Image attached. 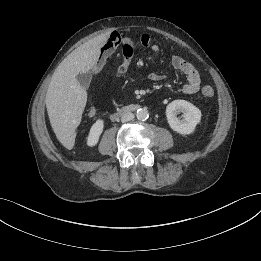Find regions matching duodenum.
Returning <instances> with one entry per match:
<instances>
[{"mask_svg": "<svg viewBox=\"0 0 261 261\" xmlns=\"http://www.w3.org/2000/svg\"><path fill=\"white\" fill-rule=\"evenodd\" d=\"M140 106L138 105H129V106H125L123 108H121L119 111H117L116 113L113 114L114 118H118L119 116H121L122 114H125L127 112H133L136 111Z\"/></svg>", "mask_w": 261, "mask_h": 261, "instance_id": "1", "label": "duodenum"}]
</instances>
